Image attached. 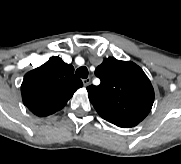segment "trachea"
<instances>
[{
  "instance_id": "1",
  "label": "trachea",
  "mask_w": 181,
  "mask_h": 164,
  "mask_svg": "<svg viewBox=\"0 0 181 164\" xmlns=\"http://www.w3.org/2000/svg\"><path fill=\"white\" fill-rule=\"evenodd\" d=\"M76 75L85 79L88 77V69L85 66H81L76 70Z\"/></svg>"
}]
</instances>
